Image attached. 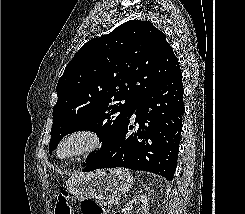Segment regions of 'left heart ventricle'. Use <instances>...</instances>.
<instances>
[{"instance_id":"obj_1","label":"left heart ventricle","mask_w":245,"mask_h":214,"mask_svg":"<svg viewBox=\"0 0 245 214\" xmlns=\"http://www.w3.org/2000/svg\"><path fill=\"white\" fill-rule=\"evenodd\" d=\"M80 146H81V141L79 140L72 141L62 149V153L69 154L77 150Z\"/></svg>"}]
</instances>
